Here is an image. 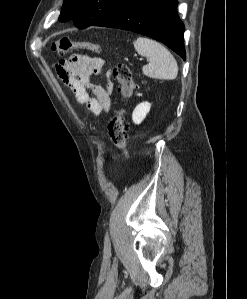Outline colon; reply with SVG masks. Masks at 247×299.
<instances>
[{
    "instance_id": "5ec220e1",
    "label": "colon",
    "mask_w": 247,
    "mask_h": 299,
    "mask_svg": "<svg viewBox=\"0 0 247 299\" xmlns=\"http://www.w3.org/2000/svg\"><path fill=\"white\" fill-rule=\"evenodd\" d=\"M81 49L92 53L100 54L102 47L89 41L76 40L69 37H62L52 42L51 50L64 55L73 50ZM113 78L119 84V93L124 102L128 101L134 90V81L130 68L123 63L117 64L112 70ZM125 109L120 108L116 111L108 123V134L112 143L122 151L125 158L130 157L129 148V123L126 120Z\"/></svg>"
}]
</instances>
